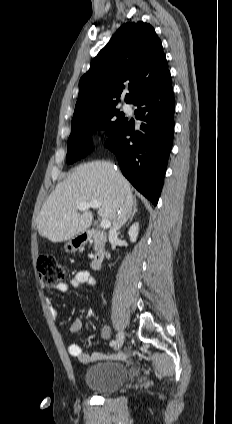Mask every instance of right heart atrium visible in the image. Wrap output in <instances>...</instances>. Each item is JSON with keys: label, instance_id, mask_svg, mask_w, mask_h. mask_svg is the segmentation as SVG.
Wrapping results in <instances>:
<instances>
[{"label": "right heart atrium", "instance_id": "right-heart-atrium-1", "mask_svg": "<svg viewBox=\"0 0 232 424\" xmlns=\"http://www.w3.org/2000/svg\"><path fill=\"white\" fill-rule=\"evenodd\" d=\"M96 135L98 138H103L106 135V129L101 126L97 129Z\"/></svg>", "mask_w": 232, "mask_h": 424}]
</instances>
